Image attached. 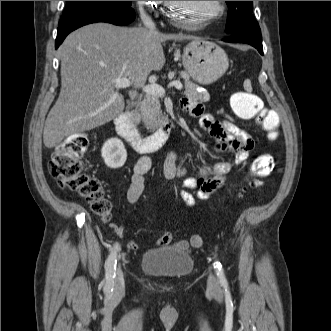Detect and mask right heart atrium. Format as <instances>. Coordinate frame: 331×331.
Listing matches in <instances>:
<instances>
[{
  "instance_id": "1",
  "label": "right heart atrium",
  "mask_w": 331,
  "mask_h": 331,
  "mask_svg": "<svg viewBox=\"0 0 331 331\" xmlns=\"http://www.w3.org/2000/svg\"><path fill=\"white\" fill-rule=\"evenodd\" d=\"M141 19H157L162 1H136Z\"/></svg>"
}]
</instances>
